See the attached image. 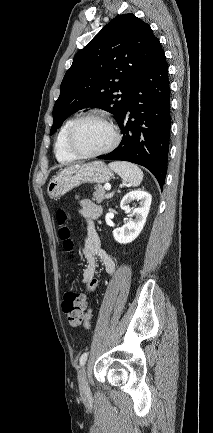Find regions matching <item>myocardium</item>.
<instances>
[{"instance_id":"myocardium-1","label":"myocardium","mask_w":213,"mask_h":433,"mask_svg":"<svg viewBox=\"0 0 213 433\" xmlns=\"http://www.w3.org/2000/svg\"><path fill=\"white\" fill-rule=\"evenodd\" d=\"M89 119H97V120H100L103 123H105L110 128L112 135H113V139H112V142L105 149H103L101 151L94 152V153H83L75 145V135H76V131L79 128V126L84 121L89 120ZM120 140H121L120 132H119L118 128L116 127V125L114 124V122L110 118H108L106 115L99 113V112H88V113L78 117L74 121V123L72 124V126L68 132V136H67V145H68L70 152L73 155H75L77 158L90 159V158H95V157L103 156L105 154L110 153L119 145Z\"/></svg>"}]
</instances>
